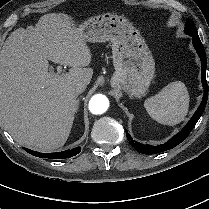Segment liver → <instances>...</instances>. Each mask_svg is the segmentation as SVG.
Listing matches in <instances>:
<instances>
[{"label":"liver","mask_w":209,"mask_h":209,"mask_svg":"<svg viewBox=\"0 0 209 209\" xmlns=\"http://www.w3.org/2000/svg\"><path fill=\"white\" fill-rule=\"evenodd\" d=\"M48 60L72 67L56 77ZM92 55L75 21L63 13L14 30L0 52V121L14 140L50 151L67 141L76 112L77 83H90Z\"/></svg>","instance_id":"1"}]
</instances>
